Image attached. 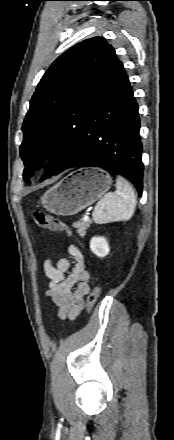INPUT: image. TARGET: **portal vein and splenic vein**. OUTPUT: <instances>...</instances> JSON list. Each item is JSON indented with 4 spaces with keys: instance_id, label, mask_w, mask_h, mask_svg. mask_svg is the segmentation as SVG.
<instances>
[{
    "instance_id": "portal-vein-and-splenic-vein-1",
    "label": "portal vein and splenic vein",
    "mask_w": 174,
    "mask_h": 440,
    "mask_svg": "<svg viewBox=\"0 0 174 440\" xmlns=\"http://www.w3.org/2000/svg\"><path fill=\"white\" fill-rule=\"evenodd\" d=\"M83 220H84V221H88V220H89V216H88V215H85V216L83 217Z\"/></svg>"
}]
</instances>
